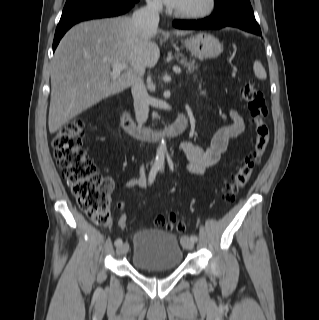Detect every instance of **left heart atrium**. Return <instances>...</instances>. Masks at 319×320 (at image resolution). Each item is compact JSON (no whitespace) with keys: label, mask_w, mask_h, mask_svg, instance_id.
<instances>
[{"label":"left heart atrium","mask_w":319,"mask_h":320,"mask_svg":"<svg viewBox=\"0 0 319 320\" xmlns=\"http://www.w3.org/2000/svg\"><path fill=\"white\" fill-rule=\"evenodd\" d=\"M164 3L173 9H178L183 4L184 0H163Z\"/></svg>","instance_id":"39dd6f15"}]
</instances>
